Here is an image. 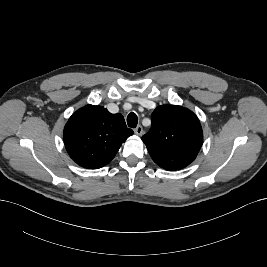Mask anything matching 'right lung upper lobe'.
Wrapping results in <instances>:
<instances>
[{"label": "right lung upper lobe", "mask_w": 267, "mask_h": 267, "mask_svg": "<svg viewBox=\"0 0 267 267\" xmlns=\"http://www.w3.org/2000/svg\"><path fill=\"white\" fill-rule=\"evenodd\" d=\"M132 134L121 114H111L102 106L86 105L68 120L64 144L78 165L98 169L114 158L121 144Z\"/></svg>", "instance_id": "obj_1"}]
</instances>
